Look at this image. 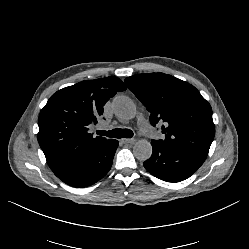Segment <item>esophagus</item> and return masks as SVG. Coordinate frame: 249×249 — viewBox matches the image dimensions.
I'll use <instances>...</instances> for the list:
<instances>
[{"instance_id": "esophagus-1", "label": "esophagus", "mask_w": 249, "mask_h": 249, "mask_svg": "<svg viewBox=\"0 0 249 249\" xmlns=\"http://www.w3.org/2000/svg\"><path fill=\"white\" fill-rule=\"evenodd\" d=\"M121 142L123 144H129V143H132L133 142V139H121Z\"/></svg>"}]
</instances>
